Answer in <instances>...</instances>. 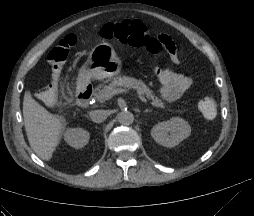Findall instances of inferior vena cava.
<instances>
[{
  "label": "inferior vena cava",
  "mask_w": 254,
  "mask_h": 216,
  "mask_svg": "<svg viewBox=\"0 0 254 216\" xmlns=\"http://www.w3.org/2000/svg\"><path fill=\"white\" fill-rule=\"evenodd\" d=\"M90 118L95 123H101L108 117V112L105 110H94L89 113Z\"/></svg>",
  "instance_id": "602c4592"
}]
</instances>
